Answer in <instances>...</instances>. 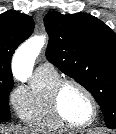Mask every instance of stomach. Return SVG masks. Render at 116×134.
Masks as SVG:
<instances>
[{
  "mask_svg": "<svg viewBox=\"0 0 116 134\" xmlns=\"http://www.w3.org/2000/svg\"><path fill=\"white\" fill-rule=\"evenodd\" d=\"M93 134H101V133H93Z\"/></svg>",
  "mask_w": 116,
  "mask_h": 134,
  "instance_id": "stomach-1",
  "label": "stomach"
}]
</instances>
